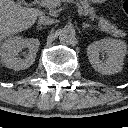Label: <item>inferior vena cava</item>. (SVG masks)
<instances>
[{
	"label": "inferior vena cava",
	"mask_w": 128,
	"mask_h": 128,
	"mask_svg": "<svg viewBox=\"0 0 128 128\" xmlns=\"http://www.w3.org/2000/svg\"><path fill=\"white\" fill-rule=\"evenodd\" d=\"M54 21L55 20L53 18H50L49 16H46V15L42 14L39 17L38 23L41 24V25H50V24H53Z\"/></svg>",
	"instance_id": "1"
}]
</instances>
